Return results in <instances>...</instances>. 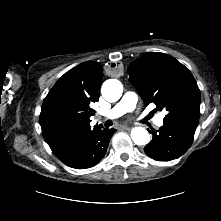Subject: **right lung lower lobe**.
<instances>
[{
    "instance_id": "1",
    "label": "right lung lower lobe",
    "mask_w": 221,
    "mask_h": 221,
    "mask_svg": "<svg viewBox=\"0 0 221 221\" xmlns=\"http://www.w3.org/2000/svg\"><path fill=\"white\" fill-rule=\"evenodd\" d=\"M115 129L98 128L93 131L80 145L60 158L69 167L85 169L95 166L106 154Z\"/></svg>"
}]
</instances>
